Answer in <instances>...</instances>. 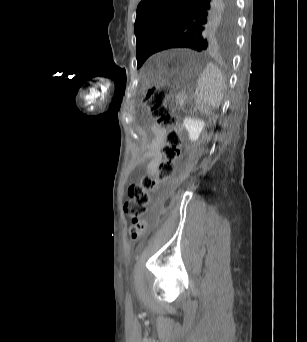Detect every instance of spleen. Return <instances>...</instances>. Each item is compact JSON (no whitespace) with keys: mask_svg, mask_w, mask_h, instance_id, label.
I'll return each instance as SVG.
<instances>
[{"mask_svg":"<svg viewBox=\"0 0 307 342\" xmlns=\"http://www.w3.org/2000/svg\"><path fill=\"white\" fill-rule=\"evenodd\" d=\"M225 80L221 70L215 64H207L197 80L195 102L202 114H217V108L223 100Z\"/></svg>","mask_w":307,"mask_h":342,"instance_id":"obj_1","label":"spleen"}]
</instances>
